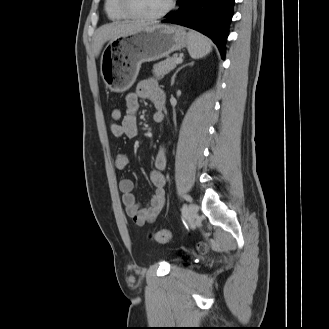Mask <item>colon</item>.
<instances>
[{
	"label": "colon",
	"instance_id": "1",
	"mask_svg": "<svg viewBox=\"0 0 329 329\" xmlns=\"http://www.w3.org/2000/svg\"><path fill=\"white\" fill-rule=\"evenodd\" d=\"M122 112L120 108L114 107L111 111V117L114 122H118L121 120ZM150 239H153L159 243H166L170 241L172 238V232L169 229H160L157 230L149 235ZM198 249L202 252L206 250V247L203 243H200L198 245Z\"/></svg>",
	"mask_w": 329,
	"mask_h": 329
}]
</instances>
